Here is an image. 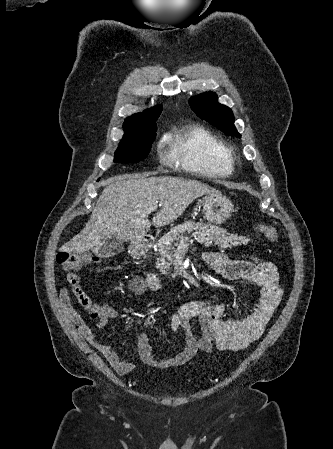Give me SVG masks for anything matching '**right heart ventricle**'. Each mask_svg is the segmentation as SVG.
Wrapping results in <instances>:
<instances>
[{"mask_svg":"<svg viewBox=\"0 0 333 449\" xmlns=\"http://www.w3.org/2000/svg\"><path fill=\"white\" fill-rule=\"evenodd\" d=\"M166 144L169 158L186 171L208 177H223L233 171L232 150L204 127H179L166 138Z\"/></svg>","mask_w":333,"mask_h":449,"instance_id":"right-heart-ventricle-1","label":"right heart ventricle"}]
</instances>
